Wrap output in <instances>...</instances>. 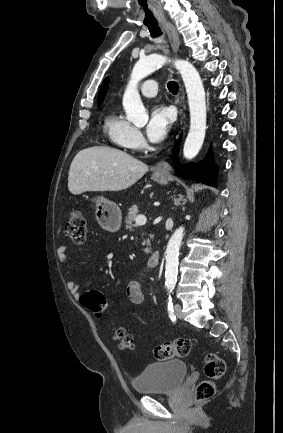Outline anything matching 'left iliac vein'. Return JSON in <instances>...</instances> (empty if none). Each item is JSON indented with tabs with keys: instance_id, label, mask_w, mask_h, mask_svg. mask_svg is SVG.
I'll list each match as a JSON object with an SVG mask.
<instances>
[{
	"instance_id": "obj_1",
	"label": "left iliac vein",
	"mask_w": 283,
	"mask_h": 433,
	"mask_svg": "<svg viewBox=\"0 0 283 433\" xmlns=\"http://www.w3.org/2000/svg\"><path fill=\"white\" fill-rule=\"evenodd\" d=\"M174 311H175V315H176L178 318H182V317H183V314H182V307H181V305H180L179 303H176V304L174 305Z\"/></svg>"
}]
</instances>
